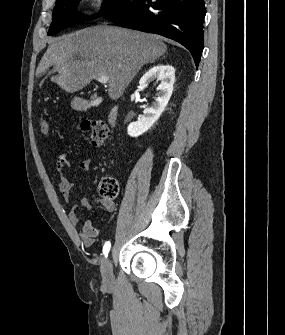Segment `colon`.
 Segmentation results:
<instances>
[{
    "instance_id": "obj_1",
    "label": "colon",
    "mask_w": 285,
    "mask_h": 335,
    "mask_svg": "<svg viewBox=\"0 0 285 335\" xmlns=\"http://www.w3.org/2000/svg\"><path fill=\"white\" fill-rule=\"evenodd\" d=\"M40 132L43 136H48L50 132L48 122L43 119L40 122ZM79 130L87 134L90 142L94 146L104 144L109 138L110 132L107 125L101 121L85 120L79 124ZM98 191L105 200H114L119 193L118 181L113 177H104L100 180Z\"/></svg>"
}]
</instances>
